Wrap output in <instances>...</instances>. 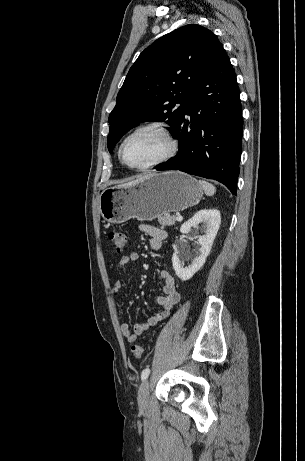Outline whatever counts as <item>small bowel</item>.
<instances>
[{
  "mask_svg": "<svg viewBox=\"0 0 305 461\" xmlns=\"http://www.w3.org/2000/svg\"><path fill=\"white\" fill-rule=\"evenodd\" d=\"M140 229L150 236L149 245L154 251H159L162 248L163 242L167 239L168 233L159 227L152 225H141ZM140 255L137 252H130L124 255L118 262L117 268L124 270L130 263L139 261ZM159 276L162 279V295L154 298V303L161 307V311L152 314L146 321L137 323L133 328L128 323L121 324V333L130 343L137 340L138 336L148 331L151 327L157 325L162 320L167 318L173 311L175 305L180 301V293L176 288V283L173 275L168 268H161ZM123 283L117 280L112 288L111 295L114 299H118L121 295Z\"/></svg>",
  "mask_w": 305,
  "mask_h": 461,
  "instance_id": "1",
  "label": "small bowel"
}]
</instances>
